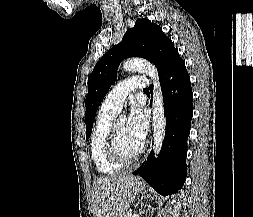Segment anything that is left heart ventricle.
Returning <instances> with one entry per match:
<instances>
[{"mask_svg": "<svg viewBox=\"0 0 253 217\" xmlns=\"http://www.w3.org/2000/svg\"><path fill=\"white\" fill-rule=\"evenodd\" d=\"M116 129L121 153L127 157H132L137 153L142 144L131 135L125 122L117 123Z\"/></svg>", "mask_w": 253, "mask_h": 217, "instance_id": "obj_1", "label": "left heart ventricle"}]
</instances>
